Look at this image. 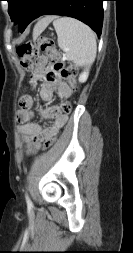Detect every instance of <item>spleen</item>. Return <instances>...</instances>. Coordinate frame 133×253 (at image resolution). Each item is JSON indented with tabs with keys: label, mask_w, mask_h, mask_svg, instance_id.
I'll use <instances>...</instances> for the list:
<instances>
[{
	"label": "spleen",
	"mask_w": 133,
	"mask_h": 253,
	"mask_svg": "<svg viewBox=\"0 0 133 253\" xmlns=\"http://www.w3.org/2000/svg\"><path fill=\"white\" fill-rule=\"evenodd\" d=\"M53 26L58 36V46L76 67L90 66L97 52L95 34L90 27L71 17L57 18Z\"/></svg>",
	"instance_id": "1"
}]
</instances>
